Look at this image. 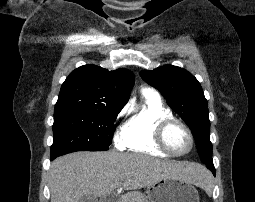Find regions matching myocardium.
<instances>
[{
    "instance_id": "obj_1",
    "label": "myocardium",
    "mask_w": 255,
    "mask_h": 202,
    "mask_svg": "<svg viewBox=\"0 0 255 202\" xmlns=\"http://www.w3.org/2000/svg\"><path fill=\"white\" fill-rule=\"evenodd\" d=\"M173 125L181 126L186 131V133L188 134V137L190 139V146H189L188 150H186L185 152H175V151H173L168 146V144L166 142L167 131ZM155 142L158 145V147L162 151L167 153L168 155H171V156H184V155H186V154H188L192 151V149L194 147L195 140H194V135H193L191 129L189 128V126L185 122H183V121H181L177 118L171 117V118L163 119L157 125L156 130H155Z\"/></svg>"
}]
</instances>
